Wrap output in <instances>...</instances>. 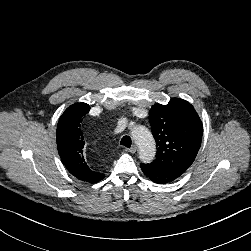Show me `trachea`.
I'll return each mask as SVG.
<instances>
[{"label":"trachea","mask_w":251,"mask_h":251,"mask_svg":"<svg viewBox=\"0 0 251 251\" xmlns=\"http://www.w3.org/2000/svg\"><path fill=\"white\" fill-rule=\"evenodd\" d=\"M131 143H132V141L129 136H124L120 141V144L127 147V148L131 147Z\"/></svg>","instance_id":"1"}]
</instances>
